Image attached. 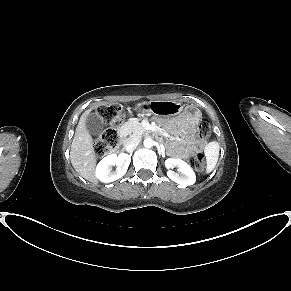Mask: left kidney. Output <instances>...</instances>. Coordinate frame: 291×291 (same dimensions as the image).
<instances>
[{
    "label": "left kidney",
    "mask_w": 291,
    "mask_h": 291,
    "mask_svg": "<svg viewBox=\"0 0 291 291\" xmlns=\"http://www.w3.org/2000/svg\"><path fill=\"white\" fill-rule=\"evenodd\" d=\"M165 167L168 169V177L183 186L193 185L196 182V175L193 169L183 160L169 158L165 161ZM174 167L178 168V173L174 172Z\"/></svg>",
    "instance_id": "1"
}]
</instances>
